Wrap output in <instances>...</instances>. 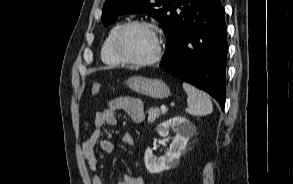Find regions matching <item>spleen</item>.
<instances>
[{"mask_svg":"<svg viewBox=\"0 0 293 184\" xmlns=\"http://www.w3.org/2000/svg\"><path fill=\"white\" fill-rule=\"evenodd\" d=\"M183 89L187 93V108L185 111L190 115L204 116L212 113L213 105L209 96L195 88L194 86L183 83Z\"/></svg>","mask_w":293,"mask_h":184,"instance_id":"3e777b00","label":"spleen"}]
</instances>
